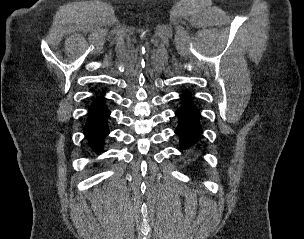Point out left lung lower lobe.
<instances>
[{
  "mask_svg": "<svg viewBox=\"0 0 304 239\" xmlns=\"http://www.w3.org/2000/svg\"><path fill=\"white\" fill-rule=\"evenodd\" d=\"M181 98L184 102L176 111L180 122L175 133L180 138L181 147L189 148L198 140L201 134V127L198 121L199 112L192 104L191 97L188 93L182 94Z\"/></svg>",
  "mask_w": 304,
  "mask_h": 239,
  "instance_id": "obj_1",
  "label": "left lung lower lobe"
}]
</instances>
